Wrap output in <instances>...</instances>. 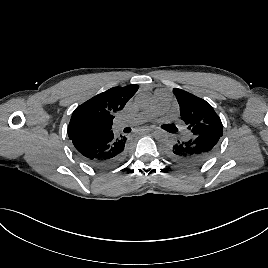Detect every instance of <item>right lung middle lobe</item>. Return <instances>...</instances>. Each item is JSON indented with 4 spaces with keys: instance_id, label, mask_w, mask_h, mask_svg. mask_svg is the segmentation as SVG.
<instances>
[{
    "instance_id": "obj_1",
    "label": "right lung middle lobe",
    "mask_w": 268,
    "mask_h": 268,
    "mask_svg": "<svg viewBox=\"0 0 268 268\" xmlns=\"http://www.w3.org/2000/svg\"><path fill=\"white\" fill-rule=\"evenodd\" d=\"M79 136H91V132L87 128H82L79 131H77Z\"/></svg>"
}]
</instances>
